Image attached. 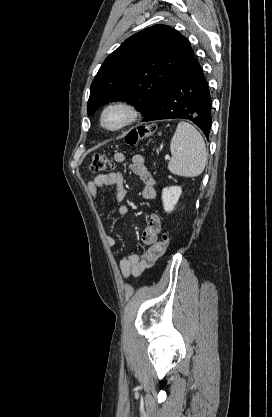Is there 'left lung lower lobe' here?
Returning a JSON list of instances; mask_svg holds the SVG:
<instances>
[{
	"label": "left lung lower lobe",
	"mask_w": 272,
	"mask_h": 417,
	"mask_svg": "<svg viewBox=\"0 0 272 417\" xmlns=\"http://www.w3.org/2000/svg\"><path fill=\"white\" fill-rule=\"evenodd\" d=\"M212 101L208 83L193 57L174 77L143 122L181 118L192 121L210 134Z\"/></svg>",
	"instance_id": "0a47b994"
}]
</instances>
